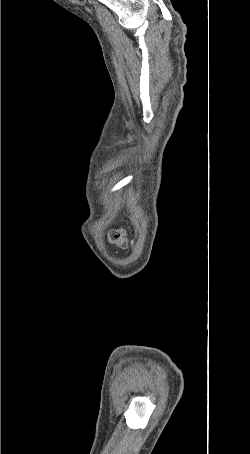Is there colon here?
Masks as SVG:
<instances>
[{
	"instance_id": "1",
	"label": "colon",
	"mask_w": 250,
	"mask_h": 454,
	"mask_svg": "<svg viewBox=\"0 0 250 454\" xmlns=\"http://www.w3.org/2000/svg\"><path fill=\"white\" fill-rule=\"evenodd\" d=\"M108 239L111 243L116 244L121 248H126L128 246L126 233L122 228L111 230L108 234Z\"/></svg>"
}]
</instances>
